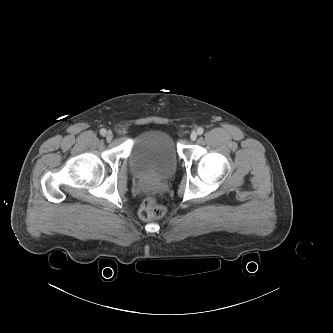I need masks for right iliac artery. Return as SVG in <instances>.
<instances>
[{
  "instance_id": "right-iliac-artery-1",
  "label": "right iliac artery",
  "mask_w": 333,
  "mask_h": 333,
  "mask_svg": "<svg viewBox=\"0 0 333 333\" xmlns=\"http://www.w3.org/2000/svg\"><path fill=\"white\" fill-rule=\"evenodd\" d=\"M100 134H101L102 136H105V135H106V129H101V130H100Z\"/></svg>"
}]
</instances>
